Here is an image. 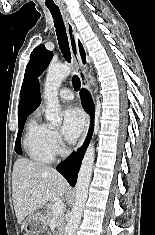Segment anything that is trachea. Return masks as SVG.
Segmentation results:
<instances>
[{"mask_svg": "<svg viewBox=\"0 0 155 235\" xmlns=\"http://www.w3.org/2000/svg\"><path fill=\"white\" fill-rule=\"evenodd\" d=\"M53 20H54V27L56 29V35H57V40L58 44L60 47V50L65 58V60L70 63L71 62V53H70V48H69V42H68V37L67 33L65 30V25L62 19L61 12L59 8H53V7H48ZM73 82V87L76 91H79L81 82L80 78L77 75L73 76L72 79Z\"/></svg>", "mask_w": 155, "mask_h": 235, "instance_id": "3493384b", "label": "trachea"}]
</instances>
